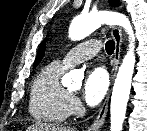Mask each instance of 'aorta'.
I'll return each mask as SVG.
<instances>
[{
  "instance_id": "obj_1",
  "label": "aorta",
  "mask_w": 147,
  "mask_h": 131,
  "mask_svg": "<svg viewBox=\"0 0 147 131\" xmlns=\"http://www.w3.org/2000/svg\"><path fill=\"white\" fill-rule=\"evenodd\" d=\"M102 24L122 26L129 35V49L119 67L110 106V131H122L136 62L134 53L135 36L130 21L123 14L109 11L79 15L71 22L69 37L73 41L84 39ZM83 78L84 73L81 70H72L63 76L62 84L66 87H71L73 84L80 86Z\"/></svg>"
}]
</instances>
